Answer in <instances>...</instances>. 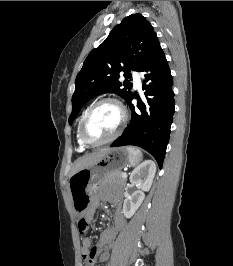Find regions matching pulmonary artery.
Segmentation results:
<instances>
[{
	"mask_svg": "<svg viewBox=\"0 0 233 266\" xmlns=\"http://www.w3.org/2000/svg\"><path fill=\"white\" fill-rule=\"evenodd\" d=\"M132 78H133V82L136 88H140L141 87V78L140 75L138 73H133L132 74Z\"/></svg>",
	"mask_w": 233,
	"mask_h": 266,
	"instance_id": "obj_1",
	"label": "pulmonary artery"
}]
</instances>
